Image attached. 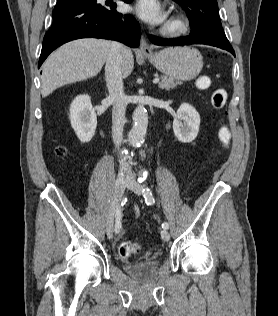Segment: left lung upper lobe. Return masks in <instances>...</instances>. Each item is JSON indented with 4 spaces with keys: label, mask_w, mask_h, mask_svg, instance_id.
<instances>
[{
    "label": "left lung upper lobe",
    "mask_w": 278,
    "mask_h": 316,
    "mask_svg": "<svg viewBox=\"0 0 278 316\" xmlns=\"http://www.w3.org/2000/svg\"><path fill=\"white\" fill-rule=\"evenodd\" d=\"M192 24V36L230 44L221 25L216 0H176Z\"/></svg>",
    "instance_id": "5c2ea615"
}]
</instances>
